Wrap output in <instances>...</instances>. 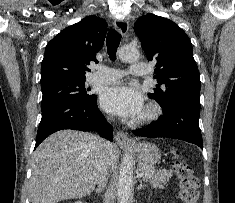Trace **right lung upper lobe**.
I'll list each match as a JSON object with an SVG mask.
<instances>
[{
    "label": "right lung upper lobe",
    "mask_w": 235,
    "mask_h": 203,
    "mask_svg": "<svg viewBox=\"0 0 235 203\" xmlns=\"http://www.w3.org/2000/svg\"><path fill=\"white\" fill-rule=\"evenodd\" d=\"M107 23L88 16L57 34L46 46L41 65V85L85 80L87 65L96 61L95 54L103 46Z\"/></svg>",
    "instance_id": "obj_1"
}]
</instances>
